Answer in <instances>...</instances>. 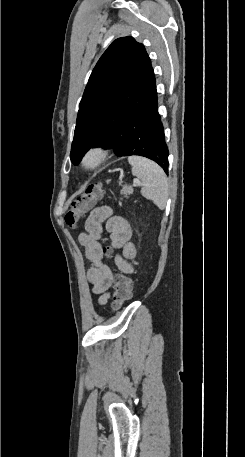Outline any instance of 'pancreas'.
Segmentation results:
<instances>
[{"label":"pancreas","mask_w":245,"mask_h":457,"mask_svg":"<svg viewBox=\"0 0 245 457\" xmlns=\"http://www.w3.org/2000/svg\"><path fill=\"white\" fill-rule=\"evenodd\" d=\"M132 192H133L132 186H126V184H124V186L121 190V194H132Z\"/></svg>","instance_id":"1"}]
</instances>
